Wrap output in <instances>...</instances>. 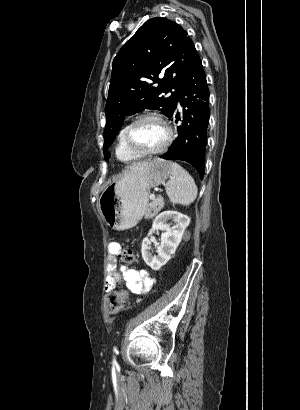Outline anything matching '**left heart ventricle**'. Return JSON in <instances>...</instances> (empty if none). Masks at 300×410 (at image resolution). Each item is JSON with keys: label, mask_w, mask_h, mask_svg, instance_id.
Returning <instances> with one entry per match:
<instances>
[{"label": "left heart ventricle", "mask_w": 300, "mask_h": 410, "mask_svg": "<svg viewBox=\"0 0 300 410\" xmlns=\"http://www.w3.org/2000/svg\"><path fill=\"white\" fill-rule=\"evenodd\" d=\"M132 141L141 150H154L159 148L166 139V130L155 119L140 122L132 131Z\"/></svg>", "instance_id": "obj_1"}]
</instances>
